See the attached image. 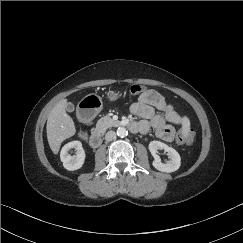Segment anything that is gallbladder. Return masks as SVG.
<instances>
[{
    "label": "gallbladder",
    "instance_id": "bac80fb5",
    "mask_svg": "<svg viewBox=\"0 0 243 243\" xmlns=\"http://www.w3.org/2000/svg\"><path fill=\"white\" fill-rule=\"evenodd\" d=\"M74 109H75V107H74V104H73V103L68 102V103L66 104V111H68V112H73Z\"/></svg>",
    "mask_w": 243,
    "mask_h": 243
}]
</instances>
